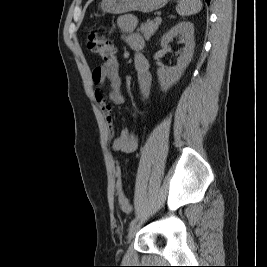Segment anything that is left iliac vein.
<instances>
[{
  "mask_svg": "<svg viewBox=\"0 0 267 267\" xmlns=\"http://www.w3.org/2000/svg\"><path fill=\"white\" fill-rule=\"evenodd\" d=\"M139 229H140V224L136 223L133 226H131L128 232V239L129 240L133 239Z\"/></svg>",
  "mask_w": 267,
  "mask_h": 267,
  "instance_id": "left-iliac-vein-1",
  "label": "left iliac vein"
}]
</instances>
